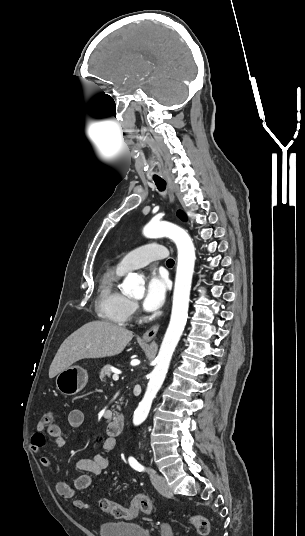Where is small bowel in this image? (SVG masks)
I'll return each mask as SVG.
<instances>
[{"instance_id": "obj_1", "label": "small bowel", "mask_w": 305, "mask_h": 536, "mask_svg": "<svg viewBox=\"0 0 305 536\" xmlns=\"http://www.w3.org/2000/svg\"><path fill=\"white\" fill-rule=\"evenodd\" d=\"M85 421V414L81 409H73L69 412L68 423L71 428H79ZM47 437L51 438L56 448H62L65 444L63 431L59 425L56 427H35V432L31 436V449L34 452L40 451L47 442ZM116 442L113 438L105 437L101 440L103 452L114 450ZM41 466L45 469L52 467V461L48 457L40 459ZM76 469L93 475L101 474L109 466V460L103 453L94 455L91 458H80L74 463ZM90 475L79 476L72 486L65 482L56 484V492L64 499H69L70 495L87 489L91 485Z\"/></svg>"}]
</instances>
